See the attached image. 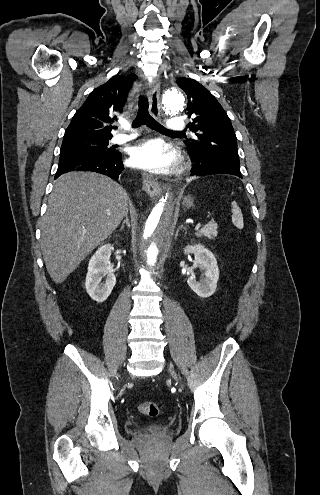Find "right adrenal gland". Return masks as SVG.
Wrapping results in <instances>:
<instances>
[{"label":"right adrenal gland","instance_id":"2a0ac1e0","mask_svg":"<svg viewBox=\"0 0 320 495\" xmlns=\"http://www.w3.org/2000/svg\"><path fill=\"white\" fill-rule=\"evenodd\" d=\"M125 224L130 228V222H129L128 214H126L125 220L122 222L120 230H122L124 228Z\"/></svg>","mask_w":320,"mask_h":495}]
</instances>
